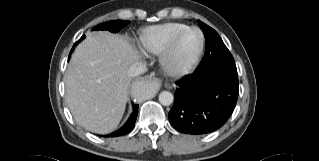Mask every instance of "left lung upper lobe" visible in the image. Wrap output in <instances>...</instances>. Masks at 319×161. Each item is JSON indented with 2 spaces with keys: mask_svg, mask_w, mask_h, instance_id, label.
I'll return each mask as SVG.
<instances>
[{
  "mask_svg": "<svg viewBox=\"0 0 319 161\" xmlns=\"http://www.w3.org/2000/svg\"><path fill=\"white\" fill-rule=\"evenodd\" d=\"M198 23L205 36L206 51L201 64L194 73L208 70H224L237 73L233 56L218 33L203 22L198 21Z\"/></svg>",
  "mask_w": 319,
  "mask_h": 161,
  "instance_id": "5c2ea615",
  "label": "left lung upper lobe"
}]
</instances>
